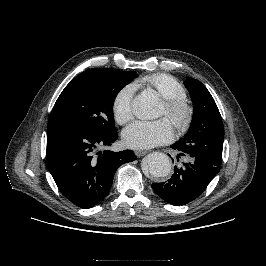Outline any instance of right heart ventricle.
<instances>
[{
    "mask_svg": "<svg viewBox=\"0 0 266 266\" xmlns=\"http://www.w3.org/2000/svg\"><path fill=\"white\" fill-rule=\"evenodd\" d=\"M137 84L148 85L164 99L185 98L186 89L174 76L165 73H155L144 76Z\"/></svg>",
    "mask_w": 266,
    "mask_h": 266,
    "instance_id": "e07e8e85",
    "label": "right heart ventricle"
}]
</instances>
